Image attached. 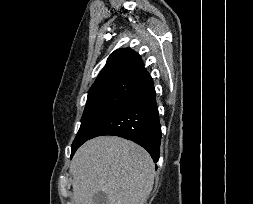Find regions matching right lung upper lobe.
Masks as SVG:
<instances>
[{"label": "right lung upper lobe", "instance_id": "1", "mask_svg": "<svg viewBox=\"0 0 253 204\" xmlns=\"http://www.w3.org/2000/svg\"><path fill=\"white\" fill-rule=\"evenodd\" d=\"M149 75L138 53L130 48L115 50L108 58L91 89L122 82H141Z\"/></svg>", "mask_w": 253, "mask_h": 204}]
</instances>
